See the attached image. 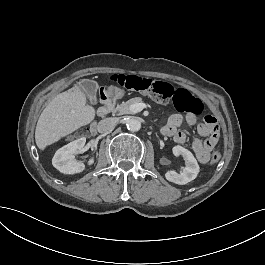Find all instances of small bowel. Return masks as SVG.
<instances>
[{
  "label": "small bowel",
  "mask_w": 265,
  "mask_h": 265,
  "mask_svg": "<svg viewBox=\"0 0 265 265\" xmlns=\"http://www.w3.org/2000/svg\"><path fill=\"white\" fill-rule=\"evenodd\" d=\"M184 120L191 126L196 124V119L192 115H188L184 119L179 114H173L162 127V134L173 138L177 144H184L187 141V135L180 129ZM197 130L199 135L205 139L194 138L192 141V150L197 160L200 163L205 164L210 161L211 153L219 143V128L217 123L207 125L202 122L197 126Z\"/></svg>",
  "instance_id": "obj_1"
}]
</instances>
